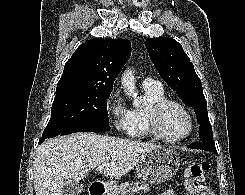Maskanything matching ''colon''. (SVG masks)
<instances>
[{
    "instance_id": "5ec220e1",
    "label": "colon",
    "mask_w": 245,
    "mask_h": 195,
    "mask_svg": "<svg viewBox=\"0 0 245 195\" xmlns=\"http://www.w3.org/2000/svg\"><path fill=\"white\" fill-rule=\"evenodd\" d=\"M209 171V164L199 162L190 165L185 173V187L191 195H214L206 185V176Z\"/></svg>"
}]
</instances>
